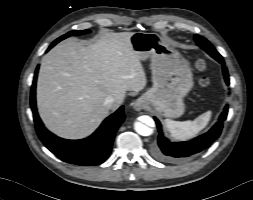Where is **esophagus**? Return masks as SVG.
Here are the masks:
<instances>
[{
  "label": "esophagus",
  "instance_id": "1",
  "mask_svg": "<svg viewBox=\"0 0 253 200\" xmlns=\"http://www.w3.org/2000/svg\"><path fill=\"white\" fill-rule=\"evenodd\" d=\"M133 108L136 110V111H140L144 108H146V102L143 98H138L137 100H135L133 102Z\"/></svg>",
  "mask_w": 253,
  "mask_h": 200
}]
</instances>
